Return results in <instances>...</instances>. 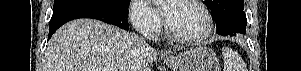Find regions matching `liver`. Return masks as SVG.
<instances>
[{
	"instance_id": "liver-1",
	"label": "liver",
	"mask_w": 301,
	"mask_h": 71,
	"mask_svg": "<svg viewBox=\"0 0 301 71\" xmlns=\"http://www.w3.org/2000/svg\"><path fill=\"white\" fill-rule=\"evenodd\" d=\"M157 55L133 33L97 20L77 19L51 37L43 71H151Z\"/></svg>"
}]
</instances>
